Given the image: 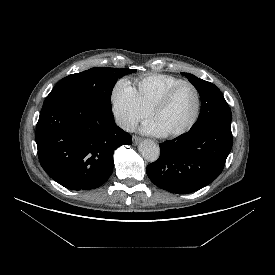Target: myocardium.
I'll list each match as a JSON object with an SVG mask.
<instances>
[{
    "label": "myocardium",
    "mask_w": 275,
    "mask_h": 275,
    "mask_svg": "<svg viewBox=\"0 0 275 275\" xmlns=\"http://www.w3.org/2000/svg\"><path fill=\"white\" fill-rule=\"evenodd\" d=\"M182 86H189L191 87L196 95V109H195V113L192 117V119L190 120V122L183 127L182 129L175 131V132H171V133H165L164 137L166 138H177L180 137L186 133H188L189 131H191L194 126L197 124L200 115H201V110H202V99H201V94L198 90V88L191 82L189 81H181L177 84H175L174 86H172L171 88H169L163 95L162 97L155 103V105L152 107L150 114L151 117L154 118V116L164 107H166L168 105V103L170 102L172 96L174 95V93Z\"/></svg>",
    "instance_id": "f54148a6"
}]
</instances>
